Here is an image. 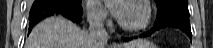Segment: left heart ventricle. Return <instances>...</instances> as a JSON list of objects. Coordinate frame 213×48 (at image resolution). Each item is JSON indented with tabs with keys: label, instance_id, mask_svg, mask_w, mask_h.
<instances>
[{
	"label": "left heart ventricle",
	"instance_id": "left-heart-ventricle-1",
	"mask_svg": "<svg viewBox=\"0 0 213 48\" xmlns=\"http://www.w3.org/2000/svg\"><path fill=\"white\" fill-rule=\"evenodd\" d=\"M144 10L135 4H126L122 21L128 26H137L144 20Z\"/></svg>",
	"mask_w": 213,
	"mask_h": 48
}]
</instances>
